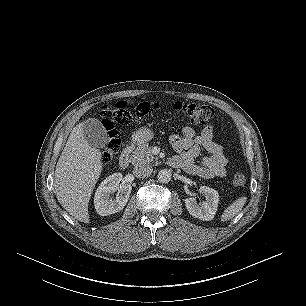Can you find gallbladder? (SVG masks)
Instances as JSON below:
<instances>
[{
    "label": "gallbladder",
    "mask_w": 306,
    "mask_h": 306,
    "mask_svg": "<svg viewBox=\"0 0 306 306\" xmlns=\"http://www.w3.org/2000/svg\"><path fill=\"white\" fill-rule=\"evenodd\" d=\"M83 134L88 144L95 148H103L108 142L106 129L95 118H89L83 122Z\"/></svg>",
    "instance_id": "bac80fb5"
}]
</instances>
